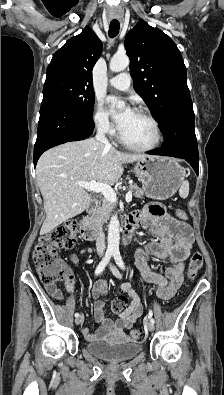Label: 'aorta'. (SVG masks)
Segmentation results:
<instances>
[{"label": "aorta", "instance_id": "obj_1", "mask_svg": "<svg viewBox=\"0 0 224 395\" xmlns=\"http://www.w3.org/2000/svg\"><path fill=\"white\" fill-rule=\"evenodd\" d=\"M129 63L130 61L127 55H114L111 58L109 67L113 72H120L126 69L129 66ZM120 107H124V104L120 105ZM119 241V220L117 216H113L108 226L107 250L112 253L119 252Z\"/></svg>", "mask_w": 224, "mask_h": 395}]
</instances>
